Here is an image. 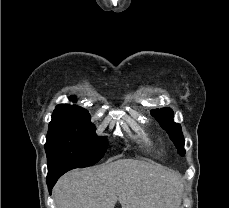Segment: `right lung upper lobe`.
<instances>
[{
  "instance_id": "cb5924a9",
  "label": "right lung upper lobe",
  "mask_w": 229,
  "mask_h": 208,
  "mask_svg": "<svg viewBox=\"0 0 229 208\" xmlns=\"http://www.w3.org/2000/svg\"><path fill=\"white\" fill-rule=\"evenodd\" d=\"M70 100L76 101V98L72 96L70 97ZM54 111L71 113V114H75L78 116L90 118V114L88 113L86 109L81 108L79 106H75V105L61 104V105H58Z\"/></svg>"
}]
</instances>
